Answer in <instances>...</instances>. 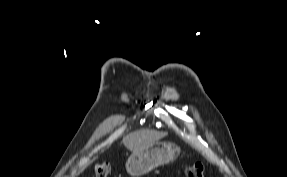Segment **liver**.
Masks as SVG:
<instances>
[{
    "mask_svg": "<svg viewBox=\"0 0 287 177\" xmlns=\"http://www.w3.org/2000/svg\"><path fill=\"white\" fill-rule=\"evenodd\" d=\"M166 135V132H157L144 129L128 134L123 138L122 142L129 150L136 151L159 141Z\"/></svg>",
    "mask_w": 287,
    "mask_h": 177,
    "instance_id": "1",
    "label": "liver"
}]
</instances>
